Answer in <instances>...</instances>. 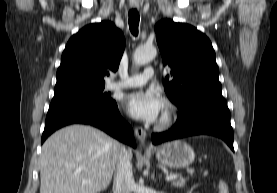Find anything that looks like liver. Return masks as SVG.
<instances>
[{
	"mask_svg": "<svg viewBox=\"0 0 277 193\" xmlns=\"http://www.w3.org/2000/svg\"><path fill=\"white\" fill-rule=\"evenodd\" d=\"M119 149V142L91 126L77 124L55 132L42 146L40 193L105 190L116 168Z\"/></svg>",
	"mask_w": 277,
	"mask_h": 193,
	"instance_id": "1",
	"label": "liver"
}]
</instances>
